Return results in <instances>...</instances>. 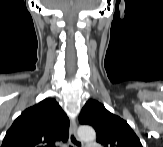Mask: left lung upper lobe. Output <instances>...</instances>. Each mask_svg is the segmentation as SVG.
<instances>
[{
    "label": "left lung upper lobe",
    "instance_id": "5c2ea615",
    "mask_svg": "<svg viewBox=\"0 0 163 147\" xmlns=\"http://www.w3.org/2000/svg\"><path fill=\"white\" fill-rule=\"evenodd\" d=\"M80 123L91 125L97 134L96 141L104 147H142L128 123L110 113L96 100L86 102L80 115Z\"/></svg>",
    "mask_w": 163,
    "mask_h": 147
}]
</instances>
